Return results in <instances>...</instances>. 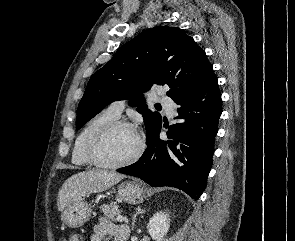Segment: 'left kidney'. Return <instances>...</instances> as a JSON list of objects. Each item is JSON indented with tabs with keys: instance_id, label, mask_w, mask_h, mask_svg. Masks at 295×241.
<instances>
[{
	"instance_id": "left-kidney-1",
	"label": "left kidney",
	"mask_w": 295,
	"mask_h": 241,
	"mask_svg": "<svg viewBox=\"0 0 295 241\" xmlns=\"http://www.w3.org/2000/svg\"><path fill=\"white\" fill-rule=\"evenodd\" d=\"M170 227V218L165 212H157L150 218L147 225L150 236L155 241H162Z\"/></svg>"
}]
</instances>
